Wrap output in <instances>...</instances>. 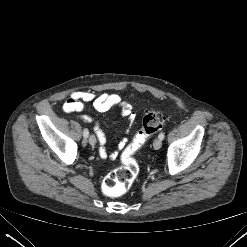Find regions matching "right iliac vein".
I'll return each instance as SVG.
<instances>
[{
  "instance_id": "obj_1",
  "label": "right iliac vein",
  "mask_w": 247,
  "mask_h": 247,
  "mask_svg": "<svg viewBox=\"0 0 247 247\" xmlns=\"http://www.w3.org/2000/svg\"><path fill=\"white\" fill-rule=\"evenodd\" d=\"M90 145L94 146L96 144V137L94 135L89 136Z\"/></svg>"
}]
</instances>
